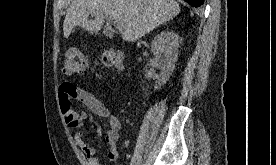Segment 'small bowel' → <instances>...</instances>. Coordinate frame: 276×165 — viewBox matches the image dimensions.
Masks as SVG:
<instances>
[{"label": "small bowel", "mask_w": 276, "mask_h": 165, "mask_svg": "<svg viewBox=\"0 0 276 165\" xmlns=\"http://www.w3.org/2000/svg\"><path fill=\"white\" fill-rule=\"evenodd\" d=\"M82 102L94 115L105 119L108 128L105 132V141L109 146L107 159L114 162L118 158L117 142L121 130L120 120L93 93L74 85L71 82H63L59 87V105L67 127L72 132L74 141L85 154L89 165H103L94 148L83 139L81 131L87 118L86 112H78L73 107V101ZM96 124H91V129H96ZM127 141L125 146H127Z\"/></svg>", "instance_id": "c3829d8e"}]
</instances>
